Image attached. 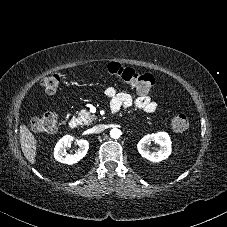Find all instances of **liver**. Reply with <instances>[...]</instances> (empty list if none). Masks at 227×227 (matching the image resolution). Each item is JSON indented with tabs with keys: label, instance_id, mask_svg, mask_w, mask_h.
<instances>
[{
	"label": "liver",
	"instance_id": "obj_1",
	"mask_svg": "<svg viewBox=\"0 0 227 227\" xmlns=\"http://www.w3.org/2000/svg\"><path fill=\"white\" fill-rule=\"evenodd\" d=\"M20 144L25 158L30 164H35L37 142L31 131L25 126H20Z\"/></svg>",
	"mask_w": 227,
	"mask_h": 227
}]
</instances>
